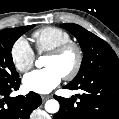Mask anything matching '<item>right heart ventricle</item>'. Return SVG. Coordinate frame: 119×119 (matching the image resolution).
I'll return each mask as SVG.
<instances>
[{"mask_svg": "<svg viewBox=\"0 0 119 119\" xmlns=\"http://www.w3.org/2000/svg\"><path fill=\"white\" fill-rule=\"evenodd\" d=\"M33 40L39 53H46L52 49L72 41L71 35L64 29L54 26L41 28L33 33Z\"/></svg>", "mask_w": 119, "mask_h": 119, "instance_id": "1", "label": "right heart ventricle"}]
</instances>
